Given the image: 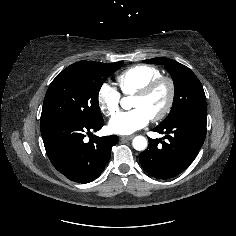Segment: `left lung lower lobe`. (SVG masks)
Listing matches in <instances>:
<instances>
[{"label": "left lung lower lobe", "mask_w": 236, "mask_h": 236, "mask_svg": "<svg viewBox=\"0 0 236 236\" xmlns=\"http://www.w3.org/2000/svg\"><path fill=\"white\" fill-rule=\"evenodd\" d=\"M207 111L189 112L153 131L167 139L148 138V148L139 155L144 170L158 179H169L183 172L195 159L206 137Z\"/></svg>", "instance_id": "1"}]
</instances>
